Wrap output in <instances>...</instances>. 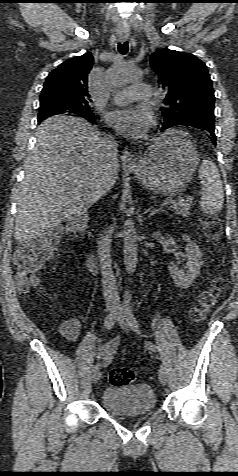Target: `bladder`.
I'll list each match as a JSON object with an SVG mask.
<instances>
[{
  "label": "bladder",
  "mask_w": 238,
  "mask_h": 476,
  "mask_svg": "<svg viewBox=\"0 0 238 476\" xmlns=\"http://www.w3.org/2000/svg\"><path fill=\"white\" fill-rule=\"evenodd\" d=\"M101 406L114 416L149 413L156 407V395L147 384L112 385L104 389Z\"/></svg>",
  "instance_id": "1"
}]
</instances>
